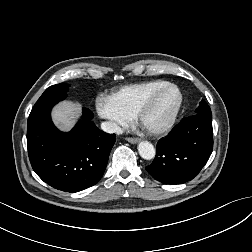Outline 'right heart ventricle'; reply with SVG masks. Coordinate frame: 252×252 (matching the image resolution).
I'll use <instances>...</instances> for the list:
<instances>
[{
  "label": "right heart ventricle",
  "mask_w": 252,
  "mask_h": 252,
  "mask_svg": "<svg viewBox=\"0 0 252 252\" xmlns=\"http://www.w3.org/2000/svg\"><path fill=\"white\" fill-rule=\"evenodd\" d=\"M169 83L163 79L128 84L114 91L111 98L123 111L135 116L139 106L157 88Z\"/></svg>",
  "instance_id": "obj_1"
}]
</instances>
